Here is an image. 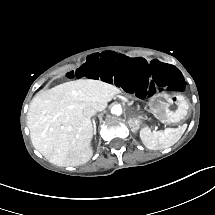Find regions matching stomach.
<instances>
[{
    "label": "stomach",
    "instance_id": "stomach-1",
    "mask_svg": "<svg viewBox=\"0 0 215 215\" xmlns=\"http://www.w3.org/2000/svg\"><path fill=\"white\" fill-rule=\"evenodd\" d=\"M151 113L160 121L168 124H177L187 118L188 102L185 97L179 94L160 93L155 95L149 103ZM141 115H134L129 124L133 130H137L141 121Z\"/></svg>",
    "mask_w": 215,
    "mask_h": 215
}]
</instances>
